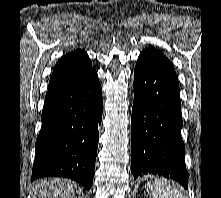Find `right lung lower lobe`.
<instances>
[{"label": "right lung lower lobe", "instance_id": "98d812e1", "mask_svg": "<svg viewBox=\"0 0 221 198\" xmlns=\"http://www.w3.org/2000/svg\"><path fill=\"white\" fill-rule=\"evenodd\" d=\"M102 112V89L95 70L75 84L46 96L32 180L67 177L89 190Z\"/></svg>", "mask_w": 221, "mask_h": 198}]
</instances>
